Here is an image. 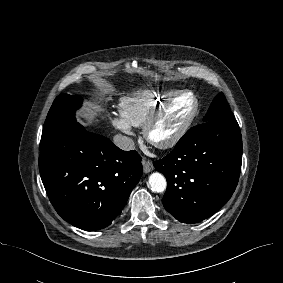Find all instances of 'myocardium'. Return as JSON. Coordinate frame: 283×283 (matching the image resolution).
<instances>
[{"label":"myocardium","instance_id":"obj_1","mask_svg":"<svg viewBox=\"0 0 283 283\" xmlns=\"http://www.w3.org/2000/svg\"><path fill=\"white\" fill-rule=\"evenodd\" d=\"M181 97H189L192 101V107L188 115L185 117V119L182 121L179 127L168 138L160 141H155L151 135L154 126L157 124L160 118L165 114L168 108L174 103V101H176ZM198 111H199V101L194 93L190 91L173 92L163 102H161L149 115V117L143 124V135L149 143L155 145L158 148L161 149L171 148L175 146L189 131L194 120L197 117Z\"/></svg>","mask_w":283,"mask_h":283}]
</instances>
